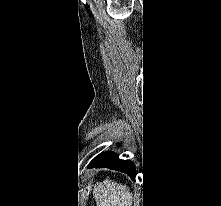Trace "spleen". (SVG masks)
<instances>
[{
  "label": "spleen",
  "mask_w": 221,
  "mask_h": 206,
  "mask_svg": "<svg viewBox=\"0 0 221 206\" xmlns=\"http://www.w3.org/2000/svg\"><path fill=\"white\" fill-rule=\"evenodd\" d=\"M98 206H132L133 195L126 185L105 180L101 189L94 191Z\"/></svg>",
  "instance_id": "3e777b00"
}]
</instances>
